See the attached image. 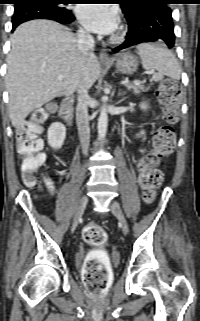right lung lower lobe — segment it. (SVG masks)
Listing matches in <instances>:
<instances>
[{
    "instance_id": "obj_1",
    "label": "right lung lower lobe",
    "mask_w": 200,
    "mask_h": 321,
    "mask_svg": "<svg viewBox=\"0 0 200 321\" xmlns=\"http://www.w3.org/2000/svg\"><path fill=\"white\" fill-rule=\"evenodd\" d=\"M32 19H49L67 25L75 20L70 10H57L39 2L15 6L12 16V31L23 22Z\"/></svg>"
}]
</instances>
